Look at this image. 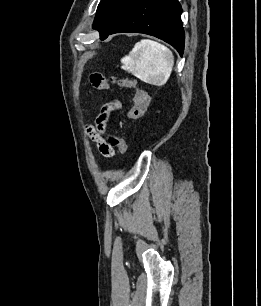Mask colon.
<instances>
[{
  "mask_svg": "<svg viewBox=\"0 0 261 306\" xmlns=\"http://www.w3.org/2000/svg\"><path fill=\"white\" fill-rule=\"evenodd\" d=\"M89 81L91 86L98 91H105L109 89L113 84H117L124 88L134 89V105L125 115V117L129 120H134L142 117L149 108V93L146 90L139 88L137 86V82L134 79L117 80L114 77H107L101 73L94 72L90 74ZM107 143L112 148L118 149L119 152L123 154L128 152V144L122 137L117 134L109 135Z\"/></svg>",
  "mask_w": 261,
  "mask_h": 306,
  "instance_id": "colon-1",
  "label": "colon"
}]
</instances>
